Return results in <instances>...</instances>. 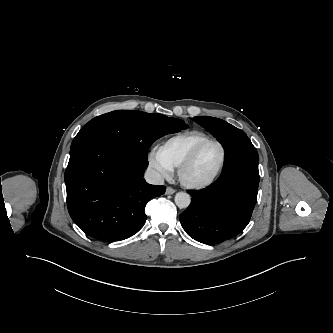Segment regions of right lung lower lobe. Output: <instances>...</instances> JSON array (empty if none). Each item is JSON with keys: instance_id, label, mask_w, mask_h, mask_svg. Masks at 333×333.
I'll return each mask as SVG.
<instances>
[{"instance_id": "1", "label": "right lung lower lobe", "mask_w": 333, "mask_h": 333, "mask_svg": "<svg viewBox=\"0 0 333 333\" xmlns=\"http://www.w3.org/2000/svg\"><path fill=\"white\" fill-rule=\"evenodd\" d=\"M147 166V161L103 141L88 139L71 146L64 179L73 221L104 241L137 233L147 219L146 203L166 190L145 182Z\"/></svg>"}]
</instances>
